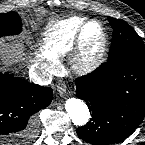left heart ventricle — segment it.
Instances as JSON below:
<instances>
[{"label":"left heart ventricle","mask_w":145,"mask_h":145,"mask_svg":"<svg viewBox=\"0 0 145 145\" xmlns=\"http://www.w3.org/2000/svg\"><path fill=\"white\" fill-rule=\"evenodd\" d=\"M83 38L86 57H94L100 47L102 40L99 27L96 24L89 25L85 30Z\"/></svg>","instance_id":"1"}]
</instances>
